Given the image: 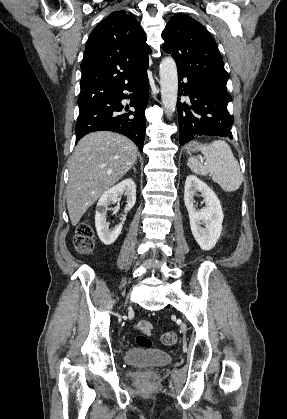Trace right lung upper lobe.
<instances>
[{
    "instance_id": "obj_1",
    "label": "right lung upper lobe",
    "mask_w": 287,
    "mask_h": 419,
    "mask_svg": "<svg viewBox=\"0 0 287 419\" xmlns=\"http://www.w3.org/2000/svg\"><path fill=\"white\" fill-rule=\"evenodd\" d=\"M150 51L145 33L132 14L115 11L108 15L86 43L79 107L139 79L148 68Z\"/></svg>"
}]
</instances>
